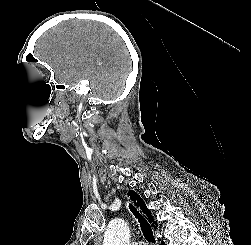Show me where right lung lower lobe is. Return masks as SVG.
I'll list each match as a JSON object with an SVG mask.
<instances>
[{"label": "right lung lower lobe", "instance_id": "right-lung-lower-lobe-1", "mask_svg": "<svg viewBox=\"0 0 251 245\" xmlns=\"http://www.w3.org/2000/svg\"><path fill=\"white\" fill-rule=\"evenodd\" d=\"M161 245H165V243H164V242H162V243H161Z\"/></svg>", "mask_w": 251, "mask_h": 245}]
</instances>
